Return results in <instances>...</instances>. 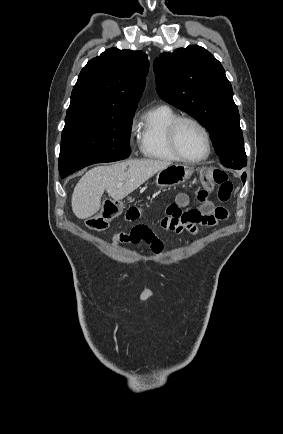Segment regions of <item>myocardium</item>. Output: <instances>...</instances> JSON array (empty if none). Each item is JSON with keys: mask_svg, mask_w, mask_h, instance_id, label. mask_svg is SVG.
<instances>
[{"mask_svg": "<svg viewBox=\"0 0 283 434\" xmlns=\"http://www.w3.org/2000/svg\"><path fill=\"white\" fill-rule=\"evenodd\" d=\"M184 122L193 123L203 133L205 143H206V150H205V153L198 158H188V157L184 156L178 147L177 132H178L179 126ZM167 139H168L169 147H170L171 151L173 152V154L180 161H183L186 163H200V162L206 160L211 153L212 144H211V137H210L208 129L205 127V125L202 122H200L198 119L191 117V116H178L175 120H173L172 123L168 127Z\"/></svg>", "mask_w": 283, "mask_h": 434, "instance_id": "1", "label": "myocardium"}]
</instances>
